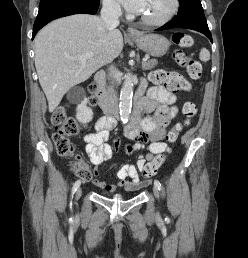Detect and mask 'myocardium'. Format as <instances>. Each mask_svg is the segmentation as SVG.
I'll return each mask as SVG.
<instances>
[{"label":"myocardium","mask_w":248,"mask_h":258,"mask_svg":"<svg viewBox=\"0 0 248 258\" xmlns=\"http://www.w3.org/2000/svg\"><path fill=\"white\" fill-rule=\"evenodd\" d=\"M179 7H180V0H172V7H171L170 11L162 18L147 19V18L141 17L140 19L144 24H146L148 26H161V25L168 23L169 21H171L174 18V16L177 14V12L179 10Z\"/></svg>","instance_id":"myocardium-1"}]
</instances>
